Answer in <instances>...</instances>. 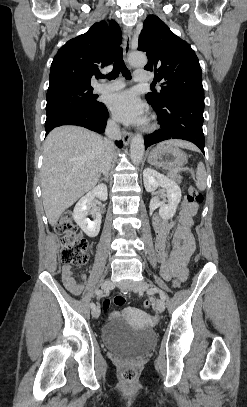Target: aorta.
<instances>
[{"instance_id":"aorta-1","label":"aorta","mask_w":247,"mask_h":407,"mask_svg":"<svg viewBox=\"0 0 247 407\" xmlns=\"http://www.w3.org/2000/svg\"><path fill=\"white\" fill-rule=\"evenodd\" d=\"M129 63L135 67H144L147 64V57L142 52H133L129 56ZM144 139L140 134L135 135L130 143V157L134 164L139 165L144 156Z\"/></svg>"}]
</instances>
